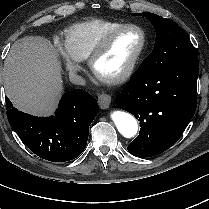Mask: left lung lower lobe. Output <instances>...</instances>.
Returning <instances> with one entry per match:
<instances>
[{"mask_svg":"<svg viewBox=\"0 0 209 209\" xmlns=\"http://www.w3.org/2000/svg\"><path fill=\"white\" fill-rule=\"evenodd\" d=\"M198 58L164 71L137 69L116 97V106L140 121V134L127 147L136 157L158 155L173 146L197 105Z\"/></svg>","mask_w":209,"mask_h":209,"instance_id":"0a47b994","label":"left lung lower lobe"}]
</instances>
